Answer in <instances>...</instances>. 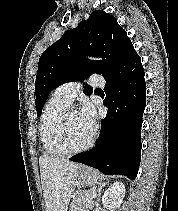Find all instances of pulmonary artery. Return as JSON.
I'll list each match as a JSON object with an SVG mask.
<instances>
[{
    "label": "pulmonary artery",
    "instance_id": "1",
    "mask_svg": "<svg viewBox=\"0 0 178 211\" xmlns=\"http://www.w3.org/2000/svg\"><path fill=\"white\" fill-rule=\"evenodd\" d=\"M104 83V79L96 74L91 75L87 81V84L92 87H101L104 85ZM83 85L84 82L80 80L67 82L59 86L56 89L55 94L68 104H71Z\"/></svg>",
    "mask_w": 178,
    "mask_h": 211
}]
</instances>
